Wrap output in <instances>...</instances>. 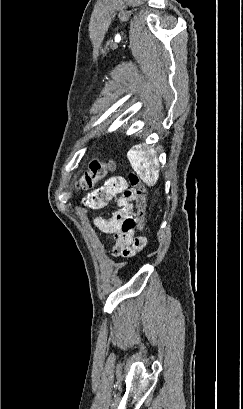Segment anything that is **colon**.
I'll return each instance as SVG.
<instances>
[{
	"label": "colon",
	"instance_id": "colon-1",
	"mask_svg": "<svg viewBox=\"0 0 243 409\" xmlns=\"http://www.w3.org/2000/svg\"><path fill=\"white\" fill-rule=\"evenodd\" d=\"M113 167L111 162L91 161L88 169L79 178L77 187L82 190L93 188L96 183L107 177ZM129 182L136 193V229L142 231L146 216V188L135 174L129 175Z\"/></svg>",
	"mask_w": 243,
	"mask_h": 409
}]
</instances>
